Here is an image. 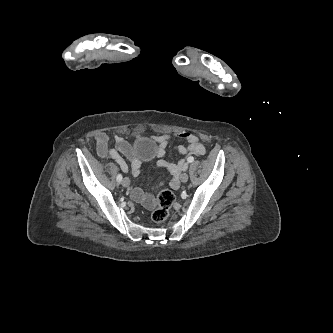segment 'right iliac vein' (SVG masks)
<instances>
[{
  "label": "right iliac vein",
  "mask_w": 333,
  "mask_h": 333,
  "mask_svg": "<svg viewBox=\"0 0 333 333\" xmlns=\"http://www.w3.org/2000/svg\"><path fill=\"white\" fill-rule=\"evenodd\" d=\"M130 185V180L125 177L123 180H122V186L123 187H128Z\"/></svg>",
  "instance_id": "right-iliac-vein-1"
}]
</instances>
